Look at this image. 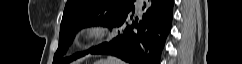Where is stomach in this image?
I'll use <instances>...</instances> for the list:
<instances>
[{
    "label": "stomach",
    "instance_id": "obj_1",
    "mask_svg": "<svg viewBox=\"0 0 242 64\" xmlns=\"http://www.w3.org/2000/svg\"><path fill=\"white\" fill-rule=\"evenodd\" d=\"M95 64H108L105 60L97 61Z\"/></svg>",
    "mask_w": 242,
    "mask_h": 64
}]
</instances>
